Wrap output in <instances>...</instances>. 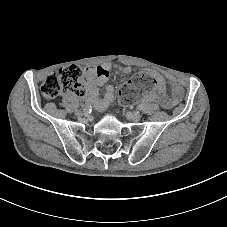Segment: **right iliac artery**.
<instances>
[{
    "label": "right iliac artery",
    "instance_id": "obj_1",
    "mask_svg": "<svg viewBox=\"0 0 227 227\" xmlns=\"http://www.w3.org/2000/svg\"><path fill=\"white\" fill-rule=\"evenodd\" d=\"M82 113L86 117L89 116L90 113H91V108L90 107H85Z\"/></svg>",
    "mask_w": 227,
    "mask_h": 227
}]
</instances>
